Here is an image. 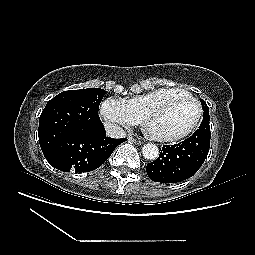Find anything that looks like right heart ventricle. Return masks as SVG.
I'll list each match as a JSON object with an SVG mask.
<instances>
[{
  "mask_svg": "<svg viewBox=\"0 0 255 255\" xmlns=\"http://www.w3.org/2000/svg\"><path fill=\"white\" fill-rule=\"evenodd\" d=\"M180 88H172V87H161L146 93L134 96L125 102L129 105L131 110L137 115V117L142 120L146 111L160 101L165 96L173 93L181 91Z\"/></svg>",
  "mask_w": 255,
  "mask_h": 255,
  "instance_id": "1",
  "label": "right heart ventricle"
}]
</instances>
